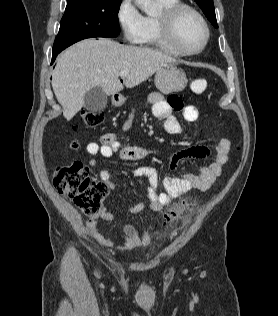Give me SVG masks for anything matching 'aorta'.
Here are the masks:
<instances>
[{
    "instance_id": "obj_1",
    "label": "aorta",
    "mask_w": 278,
    "mask_h": 316,
    "mask_svg": "<svg viewBox=\"0 0 278 316\" xmlns=\"http://www.w3.org/2000/svg\"><path fill=\"white\" fill-rule=\"evenodd\" d=\"M135 2L147 15H155L158 13V7L154 0H135Z\"/></svg>"
}]
</instances>
